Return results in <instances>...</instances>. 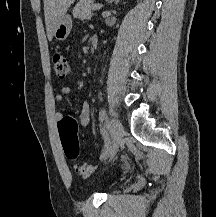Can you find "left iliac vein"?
Segmentation results:
<instances>
[{"label": "left iliac vein", "instance_id": "4c4485c4", "mask_svg": "<svg viewBox=\"0 0 216 217\" xmlns=\"http://www.w3.org/2000/svg\"><path fill=\"white\" fill-rule=\"evenodd\" d=\"M111 136H112V147L109 151V158L112 159L122 143L125 131L122 123L118 119H112L110 122Z\"/></svg>", "mask_w": 216, "mask_h": 217}]
</instances>
